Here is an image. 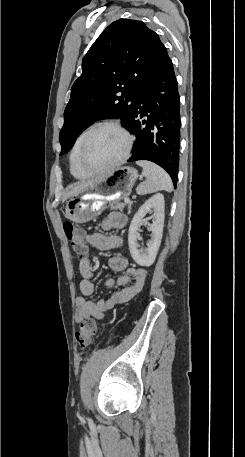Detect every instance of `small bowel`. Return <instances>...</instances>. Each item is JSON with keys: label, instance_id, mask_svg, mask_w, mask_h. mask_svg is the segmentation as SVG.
Here are the masks:
<instances>
[{"label": "small bowel", "instance_id": "small-bowel-1", "mask_svg": "<svg viewBox=\"0 0 245 457\" xmlns=\"http://www.w3.org/2000/svg\"><path fill=\"white\" fill-rule=\"evenodd\" d=\"M127 223V217L120 212H111L101 222V228L105 232L122 229ZM85 240L93 247L99 250H109L118 248L122 244L120 236L115 234L94 233L85 235ZM108 266L116 272L123 274L116 280L110 279L107 286L117 285L108 297L102 298L97 302L88 300L86 297L94 293V284L92 281L93 270L89 260L82 258L79 261L78 269L81 275L79 290L82 296L76 300V321L82 322L88 318L102 319L105 312L115 306L121 305L130 300L142 289L147 272L142 267L128 266L126 258L122 256H113L108 259Z\"/></svg>", "mask_w": 245, "mask_h": 457}]
</instances>
